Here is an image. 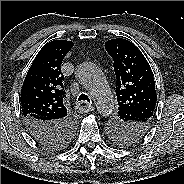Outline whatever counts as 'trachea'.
I'll return each mask as SVG.
<instances>
[{"label": "trachea", "mask_w": 184, "mask_h": 184, "mask_svg": "<svg viewBox=\"0 0 184 184\" xmlns=\"http://www.w3.org/2000/svg\"><path fill=\"white\" fill-rule=\"evenodd\" d=\"M78 101L79 102H85V101H87V102H90V99H89V97L86 95V94H84V93H82V94H80V96L78 97Z\"/></svg>", "instance_id": "obj_1"}]
</instances>
